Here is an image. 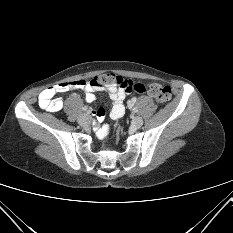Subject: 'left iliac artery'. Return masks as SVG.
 I'll list each match as a JSON object with an SVG mask.
<instances>
[{"label":"left iliac artery","mask_w":233,"mask_h":233,"mask_svg":"<svg viewBox=\"0 0 233 233\" xmlns=\"http://www.w3.org/2000/svg\"><path fill=\"white\" fill-rule=\"evenodd\" d=\"M136 101V98L134 99V102ZM134 113H136L138 110H137V108H133V110H132Z\"/></svg>","instance_id":"obj_1"}]
</instances>
